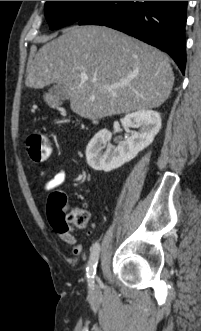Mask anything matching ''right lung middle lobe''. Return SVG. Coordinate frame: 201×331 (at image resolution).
<instances>
[{"label": "right lung middle lobe", "mask_w": 201, "mask_h": 331, "mask_svg": "<svg viewBox=\"0 0 201 331\" xmlns=\"http://www.w3.org/2000/svg\"><path fill=\"white\" fill-rule=\"evenodd\" d=\"M104 1H47L45 17L51 29L78 22L89 11Z\"/></svg>", "instance_id": "1"}]
</instances>
